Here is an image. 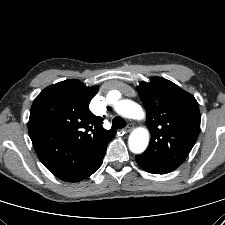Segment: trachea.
Wrapping results in <instances>:
<instances>
[{"instance_id":"trachea-1","label":"trachea","mask_w":225,"mask_h":225,"mask_svg":"<svg viewBox=\"0 0 225 225\" xmlns=\"http://www.w3.org/2000/svg\"><path fill=\"white\" fill-rule=\"evenodd\" d=\"M125 126H126V121L122 117H120V116L114 117V119L112 121L113 129H122Z\"/></svg>"}]
</instances>
